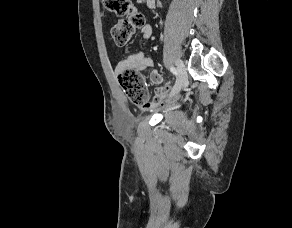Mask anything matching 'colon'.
<instances>
[{
    "mask_svg": "<svg viewBox=\"0 0 292 228\" xmlns=\"http://www.w3.org/2000/svg\"><path fill=\"white\" fill-rule=\"evenodd\" d=\"M105 8L121 17L111 29L114 42L123 46L129 42L137 28L144 24V17L136 11L130 0H103ZM118 81L129 100L135 105H143L148 98L142 74L135 69H127L118 74Z\"/></svg>",
    "mask_w": 292,
    "mask_h": 228,
    "instance_id": "5ec220e1",
    "label": "colon"
}]
</instances>
